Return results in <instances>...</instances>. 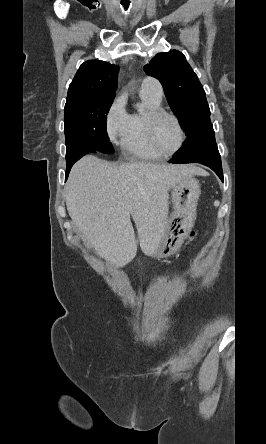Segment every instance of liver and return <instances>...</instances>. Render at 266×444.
I'll list each match as a JSON object with an SVG mask.
<instances>
[{
  "instance_id": "obj_1",
  "label": "liver",
  "mask_w": 266,
  "mask_h": 444,
  "mask_svg": "<svg viewBox=\"0 0 266 444\" xmlns=\"http://www.w3.org/2000/svg\"><path fill=\"white\" fill-rule=\"evenodd\" d=\"M202 172L193 165H115L86 155L70 172L66 207L90 247L115 267H123L137 252L130 217L142 251L152 255L167 224L168 191L184 178Z\"/></svg>"
}]
</instances>
